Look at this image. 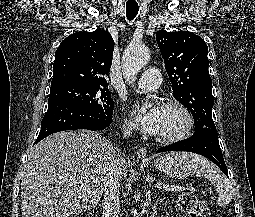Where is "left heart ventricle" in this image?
Masks as SVG:
<instances>
[{
	"instance_id": "left-heart-ventricle-1",
	"label": "left heart ventricle",
	"mask_w": 255,
	"mask_h": 217,
	"mask_svg": "<svg viewBox=\"0 0 255 217\" xmlns=\"http://www.w3.org/2000/svg\"><path fill=\"white\" fill-rule=\"evenodd\" d=\"M184 116L175 108H163L162 120L158 135H169L178 132L184 125Z\"/></svg>"
}]
</instances>
